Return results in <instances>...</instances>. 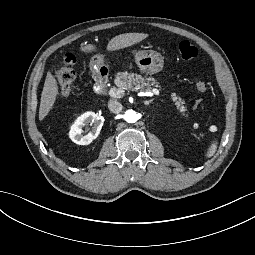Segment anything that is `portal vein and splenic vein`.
I'll return each mask as SVG.
<instances>
[{"label": "portal vein and splenic vein", "mask_w": 255, "mask_h": 255, "mask_svg": "<svg viewBox=\"0 0 255 255\" xmlns=\"http://www.w3.org/2000/svg\"><path fill=\"white\" fill-rule=\"evenodd\" d=\"M140 96H143V93H140ZM107 95H109L110 97L113 98H121L122 96H124V91L120 90V89H108L107 90ZM148 96L152 97L154 95L156 96H160V92L158 89H154L153 92H149L147 93Z\"/></svg>", "instance_id": "portal-vein-and-splenic-vein-1"}]
</instances>
